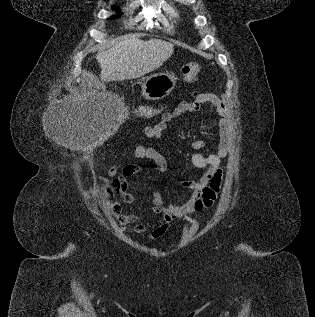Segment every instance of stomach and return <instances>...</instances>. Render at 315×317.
I'll use <instances>...</instances> for the list:
<instances>
[{"label":"stomach","instance_id":"obj_1","mask_svg":"<svg viewBox=\"0 0 315 317\" xmlns=\"http://www.w3.org/2000/svg\"><path fill=\"white\" fill-rule=\"evenodd\" d=\"M176 76L173 73H155L142 82V95L148 100H159L168 96L175 87Z\"/></svg>","mask_w":315,"mask_h":317}]
</instances>
